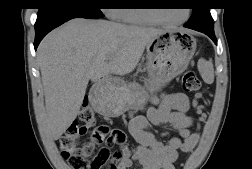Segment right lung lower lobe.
<instances>
[{"instance_id":"obj_1","label":"right lung lower lobe","mask_w":252,"mask_h":169,"mask_svg":"<svg viewBox=\"0 0 252 169\" xmlns=\"http://www.w3.org/2000/svg\"><path fill=\"white\" fill-rule=\"evenodd\" d=\"M78 17L87 18V19L99 18V17L93 16L87 13L80 12V11H67V12L53 13L46 17L37 19L35 23V33H36L35 43H34L35 50L38 44L40 43V41L42 40V38L47 33H49L52 29L60 26L61 24H63L64 22H67L70 19L78 18Z\"/></svg>"}]
</instances>
